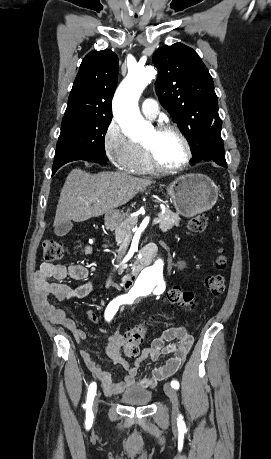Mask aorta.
<instances>
[{"mask_svg": "<svg viewBox=\"0 0 271 459\" xmlns=\"http://www.w3.org/2000/svg\"><path fill=\"white\" fill-rule=\"evenodd\" d=\"M154 67L135 68L128 73L113 98V114L123 132L132 139H143L149 132V124L143 119L138 100L144 88L155 79ZM168 269L162 258L147 261L136 278L134 289L142 295L164 292Z\"/></svg>", "mask_w": 271, "mask_h": 459, "instance_id": "1", "label": "aorta"}]
</instances>
